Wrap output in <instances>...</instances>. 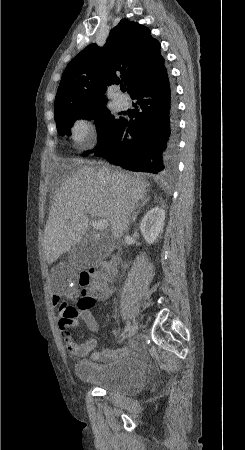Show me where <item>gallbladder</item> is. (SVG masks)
Instances as JSON below:
<instances>
[{
	"mask_svg": "<svg viewBox=\"0 0 245 450\" xmlns=\"http://www.w3.org/2000/svg\"><path fill=\"white\" fill-rule=\"evenodd\" d=\"M110 254L109 247L95 239H84L76 244L68 254L69 265L82 269L85 266L99 260H103Z\"/></svg>",
	"mask_w": 245,
	"mask_h": 450,
	"instance_id": "1",
	"label": "gallbladder"
}]
</instances>
